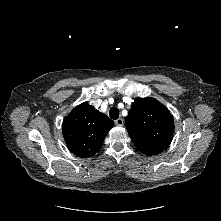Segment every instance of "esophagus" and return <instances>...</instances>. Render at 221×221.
<instances>
[{"label": "esophagus", "instance_id": "34e87169", "mask_svg": "<svg viewBox=\"0 0 221 221\" xmlns=\"http://www.w3.org/2000/svg\"><path fill=\"white\" fill-rule=\"evenodd\" d=\"M115 124L117 126H123L124 120L122 118H118V119L115 120Z\"/></svg>", "mask_w": 221, "mask_h": 221}]
</instances>
